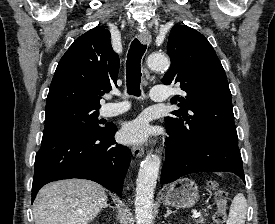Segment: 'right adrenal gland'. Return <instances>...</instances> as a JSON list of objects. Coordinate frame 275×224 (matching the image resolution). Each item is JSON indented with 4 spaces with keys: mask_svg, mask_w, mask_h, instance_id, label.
I'll return each mask as SVG.
<instances>
[{
    "mask_svg": "<svg viewBox=\"0 0 275 224\" xmlns=\"http://www.w3.org/2000/svg\"><path fill=\"white\" fill-rule=\"evenodd\" d=\"M107 207L114 209V207L111 206L110 204H106L103 208H107Z\"/></svg>",
    "mask_w": 275,
    "mask_h": 224,
    "instance_id": "1",
    "label": "right adrenal gland"
}]
</instances>
